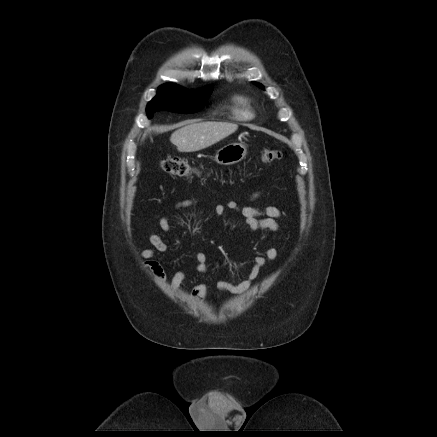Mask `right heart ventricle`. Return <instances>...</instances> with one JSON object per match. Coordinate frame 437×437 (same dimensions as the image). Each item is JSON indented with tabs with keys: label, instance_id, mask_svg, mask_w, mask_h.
Masks as SVG:
<instances>
[{
	"label": "right heart ventricle",
	"instance_id": "1",
	"mask_svg": "<svg viewBox=\"0 0 437 437\" xmlns=\"http://www.w3.org/2000/svg\"><path fill=\"white\" fill-rule=\"evenodd\" d=\"M233 104V112L238 118L249 120L254 117V110L248 98L237 96L233 99Z\"/></svg>",
	"mask_w": 437,
	"mask_h": 437
}]
</instances>
